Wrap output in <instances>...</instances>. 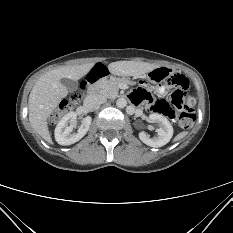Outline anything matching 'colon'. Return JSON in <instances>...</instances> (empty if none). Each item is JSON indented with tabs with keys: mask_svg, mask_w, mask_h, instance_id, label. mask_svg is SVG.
<instances>
[{
	"mask_svg": "<svg viewBox=\"0 0 233 233\" xmlns=\"http://www.w3.org/2000/svg\"><path fill=\"white\" fill-rule=\"evenodd\" d=\"M167 83L176 87L171 103L165 100L153 101L151 103L152 110L172 118L182 129L191 128L195 122V99L186 93L189 86L188 79L184 75L174 74L168 78ZM82 97V91L72 93L67 100L61 103L59 109L52 113L50 122L56 123L65 112L77 106Z\"/></svg>",
	"mask_w": 233,
	"mask_h": 233,
	"instance_id": "colon-1",
	"label": "colon"
}]
</instances>
